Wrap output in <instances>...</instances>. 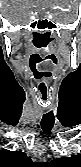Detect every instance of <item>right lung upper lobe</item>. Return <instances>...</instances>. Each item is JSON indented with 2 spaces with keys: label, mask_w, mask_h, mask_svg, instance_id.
<instances>
[{
  "label": "right lung upper lobe",
  "mask_w": 81,
  "mask_h": 167,
  "mask_svg": "<svg viewBox=\"0 0 81 167\" xmlns=\"http://www.w3.org/2000/svg\"><path fill=\"white\" fill-rule=\"evenodd\" d=\"M22 151L0 150V167H35Z\"/></svg>",
  "instance_id": "cb5924a9"
}]
</instances>
